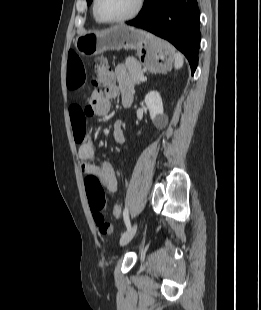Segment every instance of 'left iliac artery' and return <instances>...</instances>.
<instances>
[{
	"instance_id": "44dca946",
	"label": "left iliac artery",
	"mask_w": 261,
	"mask_h": 310,
	"mask_svg": "<svg viewBox=\"0 0 261 310\" xmlns=\"http://www.w3.org/2000/svg\"><path fill=\"white\" fill-rule=\"evenodd\" d=\"M123 217H124L125 225H126L127 229H129L131 224H130L129 212H128V208L127 207L123 211Z\"/></svg>"
}]
</instances>
